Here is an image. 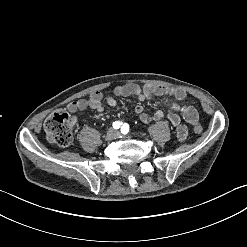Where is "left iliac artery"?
Here are the masks:
<instances>
[{"mask_svg": "<svg viewBox=\"0 0 247 247\" xmlns=\"http://www.w3.org/2000/svg\"><path fill=\"white\" fill-rule=\"evenodd\" d=\"M128 132H129V125L127 123H124L121 127V133L125 135Z\"/></svg>", "mask_w": 247, "mask_h": 247, "instance_id": "left-iliac-artery-1", "label": "left iliac artery"}]
</instances>
